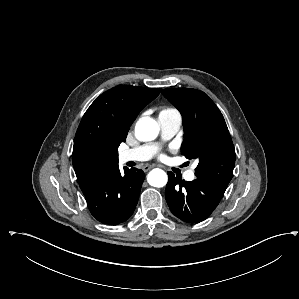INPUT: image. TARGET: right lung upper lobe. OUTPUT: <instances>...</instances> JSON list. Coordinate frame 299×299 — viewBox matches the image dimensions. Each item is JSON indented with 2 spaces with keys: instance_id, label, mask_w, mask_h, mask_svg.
<instances>
[{
  "instance_id": "cb5924a9",
  "label": "right lung upper lobe",
  "mask_w": 299,
  "mask_h": 299,
  "mask_svg": "<svg viewBox=\"0 0 299 299\" xmlns=\"http://www.w3.org/2000/svg\"><path fill=\"white\" fill-rule=\"evenodd\" d=\"M161 88L117 86L101 94L85 112L77 129L72 163L82 191L107 168L118 165V146L139 112Z\"/></svg>"
}]
</instances>
